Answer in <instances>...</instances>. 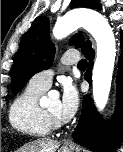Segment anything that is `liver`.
<instances>
[{"label": "liver", "instance_id": "liver-1", "mask_svg": "<svg viewBox=\"0 0 123 152\" xmlns=\"http://www.w3.org/2000/svg\"><path fill=\"white\" fill-rule=\"evenodd\" d=\"M59 145L58 141L38 139L18 149L17 152H56Z\"/></svg>", "mask_w": 123, "mask_h": 152}]
</instances>
